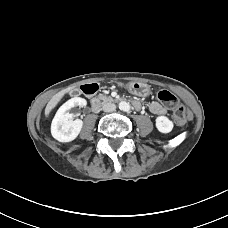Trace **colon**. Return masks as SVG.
Returning <instances> with one entry per match:
<instances>
[{"label": "colon", "instance_id": "obj_1", "mask_svg": "<svg viewBox=\"0 0 228 228\" xmlns=\"http://www.w3.org/2000/svg\"><path fill=\"white\" fill-rule=\"evenodd\" d=\"M157 97L162 103L174 108V119L178 124L183 125L187 123L190 114L185 106L179 104L175 95L167 90H161L158 92Z\"/></svg>", "mask_w": 228, "mask_h": 228}]
</instances>
